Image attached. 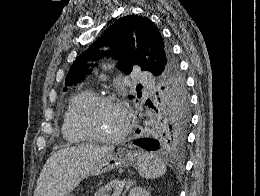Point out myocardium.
<instances>
[{
  "instance_id": "1",
  "label": "myocardium",
  "mask_w": 260,
  "mask_h": 196,
  "mask_svg": "<svg viewBox=\"0 0 260 196\" xmlns=\"http://www.w3.org/2000/svg\"><path fill=\"white\" fill-rule=\"evenodd\" d=\"M106 104H116L121 106L124 109L126 122L123 129L116 135L110 134H101L95 131L90 125V119L94 112L101 106ZM77 125L79 129L84 132L89 139L98 141V142H121L123 141L127 135L129 134L132 126H133V116L130 111V108L127 102L117 96L114 95H102L94 97L80 112Z\"/></svg>"
}]
</instances>
